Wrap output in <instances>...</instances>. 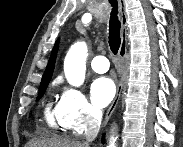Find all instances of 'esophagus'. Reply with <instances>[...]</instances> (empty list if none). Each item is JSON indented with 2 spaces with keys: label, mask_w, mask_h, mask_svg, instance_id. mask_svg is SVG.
I'll return each mask as SVG.
<instances>
[{
  "label": "esophagus",
  "mask_w": 183,
  "mask_h": 147,
  "mask_svg": "<svg viewBox=\"0 0 183 147\" xmlns=\"http://www.w3.org/2000/svg\"><path fill=\"white\" fill-rule=\"evenodd\" d=\"M120 13H121V45H120V49H119V57L121 60V63L123 64L126 58V54H127V15H126V11H125V1L124 0H120ZM122 88H123V83H122V78L119 80L118 84H117V91H116V95L106 113L103 125H106L109 118L111 117V115L113 114L121 93H122Z\"/></svg>",
  "instance_id": "obj_1"
}]
</instances>
